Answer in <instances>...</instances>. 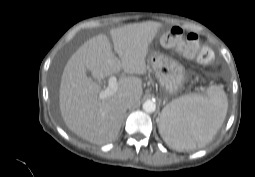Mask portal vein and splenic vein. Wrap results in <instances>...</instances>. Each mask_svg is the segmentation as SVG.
Instances as JSON below:
<instances>
[{
    "label": "portal vein and splenic vein",
    "mask_w": 255,
    "mask_h": 177,
    "mask_svg": "<svg viewBox=\"0 0 255 177\" xmlns=\"http://www.w3.org/2000/svg\"><path fill=\"white\" fill-rule=\"evenodd\" d=\"M118 89L116 76H111L108 80V87L102 90L99 94L100 99H105L112 96Z\"/></svg>",
    "instance_id": "18ae733b"
}]
</instances>
